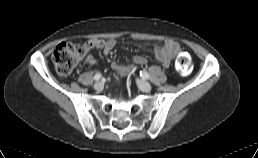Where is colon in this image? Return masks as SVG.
I'll return each instance as SVG.
<instances>
[{"label":"colon","mask_w":258,"mask_h":158,"mask_svg":"<svg viewBox=\"0 0 258 158\" xmlns=\"http://www.w3.org/2000/svg\"><path fill=\"white\" fill-rule=\"evenodd\" d=\"M89 50L90 48L86 44L77 45L70 42L59 44L52 54V60L58 74L61 76L70 75ZM175 66L181 75H187L190 72L191 56L186 50L180 51Z\"/></svg>","instance_id":"1"}]
</instances>
